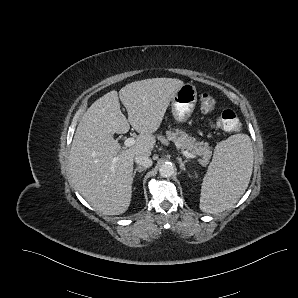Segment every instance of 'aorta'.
<instances>
[{"mask_svg": "<svg viewBox=\"0 0 298 298\" xmlns=\"http://www.w3.org/2000/svg\"><path fill=\"white\" fill-rule=\"evenodd\" d=\"M175 172L174 165L172 163H163L159 168V174L162 177L169 178Z\"/></svg>", "mask_w": 298, "mask_h": 298, "instance_id": "obj_1", "label": "aorta"}]
</instances>
